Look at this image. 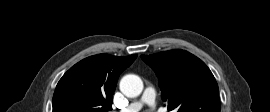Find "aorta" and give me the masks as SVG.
<instances>
[{"label":"aorta","instance_id":"aorta-1","mask_svg":"<svg viewBox=\"0 0 270 112\" xmlns=\"http://www.w3.org/2000/svg\"><path fill=\"white\" fill-rule=\"evenodd\" d=\"M120 90L129 97H137L143 91V82L135 74L125 75L120 81Z\"/></svg>","mask_w":270,"mask_h":112}]
</instances>
